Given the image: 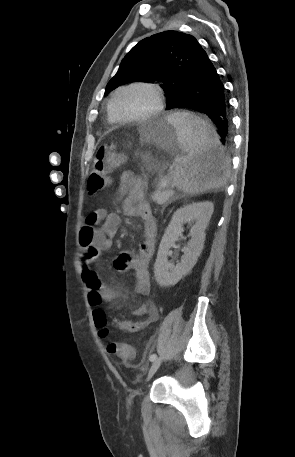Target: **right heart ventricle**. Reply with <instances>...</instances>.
<instances>
[{
	"label": "right heart ventricle",
	"mask_w": 295,
	"mask_h": 457,
	"mask_svg": "<svg viewBox=\"0 0 295 457\" xmlns=\"http://www.w3.org/2000/svg\"><path fill=\"white\" fill-rule=\"evenodd\" d=\"M108 119L110 122H114V120L110 117L109 112H108Z\"/></svg>",
	"instance_id": "obj_1"
}]
</instances>
